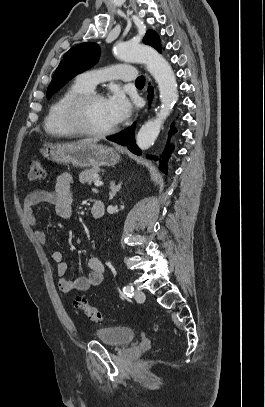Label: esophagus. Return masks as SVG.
I'll return each mask as SVG.
<instances>
[{
  "instance_id": "obj_1",
  "label": "esophagus",
  "mask_w": 265,
  "mask_h": 407,
  "mask_svg": "<svg viewBox=\"0 0 265 407\" xmlns=\"http://www.w3.org/2000/svg\"><path fill=\"white\" fill-rule=\"evenodd\" d=\"M147 80H148V82H150V77L147 75Z\"/></svg>"
}]
</instances>
